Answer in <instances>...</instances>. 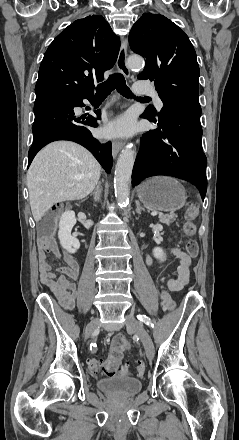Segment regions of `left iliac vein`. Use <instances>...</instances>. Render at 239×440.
Wrapping results in <instances>:
<instances>
[{
  "mask_svg": "<svg viewBox=\"0 0 239 440\" xmlns=\"http://www.w3.org/2000/svg\"><path fill=\"white\" fill-rule=\"evenodd\" d=\"M126 326L135 332L141 339L146 351L147 358L152 360L154 358L155 350L152 339L148 332L143 328L140 322L132 315H126Z\"/></svg>",
  "mask_w": 239,
  "mask_h": 440,
  "instance_id": "obj_1",
  "label": "left iliac vein"
}]
</instances>
